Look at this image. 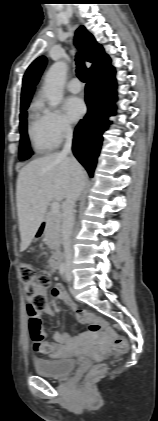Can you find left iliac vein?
<instances>
[{
  "label": "left iliac vein",
  "mask_w": 158,
  "mask_h": 421,
  "mask_svg": "<svg viewBox=\"0 0 158 421\" xmlns=\"http://www.w3.org/2000/svg\"><path fill=\"white\" fill-rule=\"evenodd\" d=\"M66 280L68 282H70L72 280V275H71V273L69 271H67V273H66Z\"/></svg>",
  "instance_id": "left-iliac-vein-1"
}]
</instances>
